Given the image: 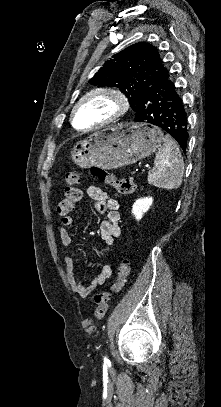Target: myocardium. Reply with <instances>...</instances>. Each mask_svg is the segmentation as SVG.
<instances>
[{"mask_svg":"<svg viewBox=\"0 0 221 407\" xmlns=\"http://www.w3.org/2000/svg\"><path fill=\"white\" fill-rule=\"evenodd\" d=\"M100 96L110 97L113 99L114 104H115L113 113L108 118L98 122L97 124H94L90 127L81 129L82 131H91V130L100 128L104 125L110 124V123L118 120L120 117H122L127 112L128 108H129V100H128L127 95L123 91H121L117 88H113V87L94 88V89L88 91L87 93H85L83 96H81L71 110L70 122L74 129H77V130L80 129V128H77L76 124H75V115H76V111L78 110V108L82 104H84L86 101H88L89 99L95 98V97H100Z\"/></svg>","mask_w":221,"mask_h":407,"instance_id":"f54148a6","label":"myocardium"}]
</instances>
